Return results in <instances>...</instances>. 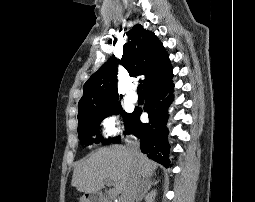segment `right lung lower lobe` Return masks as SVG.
I'll list each match as a JSON object with an SVG mask.
<instances>
[{"instance_id":"obj_1","label":"right lung lower lobe","mask_w":255,"mask_h":202,"mask_svg":"<svg viewBox=\"0 0 255 202\" xmlns=\"http://www.w3.org/2000/svg\"><path fill=\"white\" fill-rule=\"evenodd\" d=\"M173 87L170 79L156 88L147 90L144 93V111L149 115V122L142 123L140 121L142 109H135L127 130L128 134H134L140 139V149L143 153L166 168L170 166L166 124L168 108L173 101Z\"/></svg>"}]
</instances>
